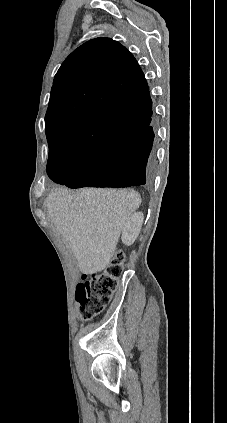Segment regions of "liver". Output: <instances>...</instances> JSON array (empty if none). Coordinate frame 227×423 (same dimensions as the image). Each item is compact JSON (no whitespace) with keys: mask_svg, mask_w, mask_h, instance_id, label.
<instances>
[{"mask_svg":"<svg viewBox=\"0 0 227 423\" xmlns=\"http://www.w3.org/2000/svg\"><path fill=\"white\" fill-rule=\"evenodd\" d=\"M141 204L134 190L60 188L48 198V217L68 241L83 273H97L115 255L122 229Z\"/></svg>","mask_w":227,"mask_h":423,"instance_id":"6515ba94","label":"liver"}]
</instances>
